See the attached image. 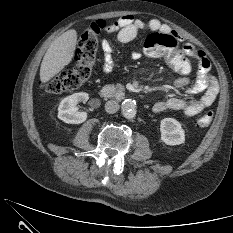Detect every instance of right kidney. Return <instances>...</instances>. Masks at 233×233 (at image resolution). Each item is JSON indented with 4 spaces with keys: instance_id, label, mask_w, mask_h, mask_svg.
Masks as SVG:
<instances>
[{
    "instance_id": "1",
    "label": "right kidney",
    "mask_w": 233,
    "mask_h": 233,
    "mask_svg": "<svg viewBox=\"0 0 233 233\" xmlns=\"http://www.w3.org/2000/svg\"><path fill=\"white\" fill-rule=\"evenodd\" d=\"M89 95L85 92L74 93L65 97L58 107V118L68 124H80L87 119L86 112L78 111L77 104L87 102Z\"/></svg>"
}]
</instances>
